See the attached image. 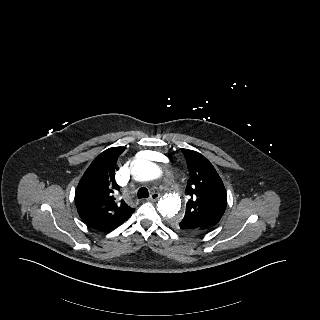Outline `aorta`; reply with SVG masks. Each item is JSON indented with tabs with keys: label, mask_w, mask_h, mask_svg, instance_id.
I'll use <instances>...</instances> for the list:
<instances>
[{
	"label": "aorta",
	"mask_w": 320,
	"mask_h": 320,
	"mask_svg": "<svg viewBox=\"0 0 320 320\" xmlns=\"http://www.w3.org/2000/svg\"><path fill=\"white\" fill-rule=\"evenodd\" d=\"M156 152H150L145 158L135 159L131 163V174L138 181H150L162 175L161 168L153 162ZM181 207V200L177 194H169L160 199L157 209L163 217L169 220L177 218ZM178 219V218H177Z\"/></svg>",
	"instance_id": "obj_1"
}]
</instances>
